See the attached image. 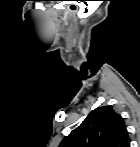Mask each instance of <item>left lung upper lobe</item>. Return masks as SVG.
<instances>
[{
	"instance_id": "obj_1",
	"label": "left lung upper lobe",
	"mask_w": 140,
	"mask_h": 147,
	"mask_svg": "<svg viewBox=\"0 0 140 147\" xmlns=\"http://www.w3.org/2000/svg\"><path fill=\"white\" fill-rule=\"evenodd\" d=\"M123 118L110 106L94 109L63 139L60 147H129Z\"/></svg>"
}]
</instances>
